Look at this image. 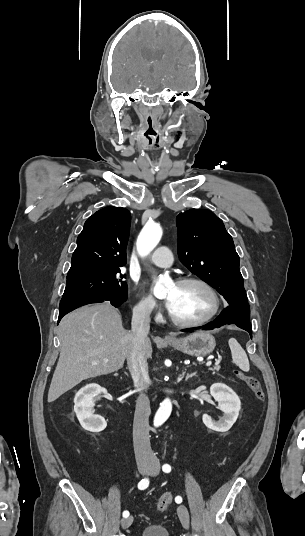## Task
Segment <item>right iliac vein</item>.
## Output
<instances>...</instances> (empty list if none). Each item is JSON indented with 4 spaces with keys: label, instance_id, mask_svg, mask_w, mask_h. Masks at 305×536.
<instances>
[{
    "label": "right iliac vein",
    "instance_id": "obj_1",
    "mask_svg": "<svg viewBox=\"0 0 305 536\" xmlns=\"http://www.w3.org/2000/svg\"><path fill=\"white\" fill-rule=\"evenodd\" d=\"M138 470H139V472H140L141 474H144V473H146V472L149 470V466H148V465H140V466L138 467ZM132 522H133V517H132V516H130V517H128V518H123V519H122V522H121V523H122V527H123V528H128V527L132 524Z\"/></svg>",
    "mask_w": 305,
    "mask_h": 536
}]
</instances>
